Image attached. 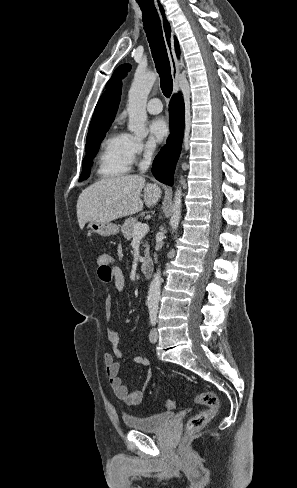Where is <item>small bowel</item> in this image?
<instances>
[{
    "label": "small bowel",
    "mask_w": 297,
    "mask_h": 488,
    "mask_svg": "<svg viewBox=\"0 0 297 488\" xmlns=\"http://www.w3.org/2000/svg\"><path fill=\"white\" fill-rule=\"evenodd\" d=\"M118 256H121V250H118ZM109 261V273L107 276H104L98 270V277L104 284H112L116 291H122L125 288V279L121 269L118 266H111L110 263L113 262V257L110 256ZM106 315L107 317L111 316L112 311V296L109 295L106 304ZM107 338L109 344L112 347V353H106L103 357V362L105 366V372L109 379V384L114 392V394L125 403L129 405H137L139 404L144 396V392L150 383L151 379L153 378V370H148L145 381L141 389L129 391L128 388L124 385L121 377L119 376L120 365L117 362L118 358L122 357V353L118 347L119 344V336L116 331L109 330L107 333ZM133 363L138 364L140 366L147 367L150 365V360L145 355H139L133 358Z\"/></svg>",
    "instance_id": "1"
}]
</instances>
